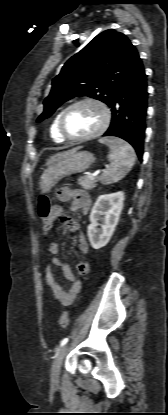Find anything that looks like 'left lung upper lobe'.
Wrapping results in <instances>:
<instances>
[{"label":"left lung upper lobe","instance_id":"5c2ea615","mask_svg":"<svg viewBox=\"0 0 168 415\" xmlns=\"http://www.w3.org/2000/svg\"><path fill=\"white\" fill-rule=\"evenodd\" d=\"M139 59L135 46L123 33L109 29L98 34L71 57L53 79L37 122L50 117L60 105L78 96H88L109 105Z\"/></svg>","mask_w":168,"mask_h":415}]
</instances>
